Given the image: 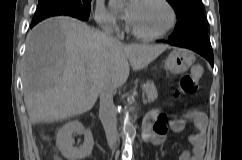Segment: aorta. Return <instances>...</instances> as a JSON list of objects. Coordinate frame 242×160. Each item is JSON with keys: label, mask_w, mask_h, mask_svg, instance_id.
I'll return each mask as SVG.
<instances>
[{"label": "aorta", "mask_w": 242, "mask_h": 160, "mask_svg": "<svg viewBox=\"0 0 242 160\" xmlns=\"http://www.w3.org/2000/svg\"><path fill=\"white\" fill-rule=\"evenodd\" d=\"M124 147L122 152V160H131L133 151V141L136 136V130L128 118L124 120Z\"/></svg>", "instance_id": "1"}]
</instances>
